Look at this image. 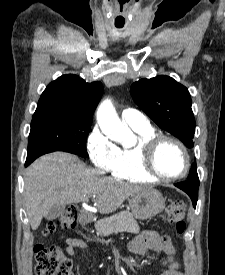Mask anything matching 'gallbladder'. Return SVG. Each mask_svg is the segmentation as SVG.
<instances>
[{
	"mask_svg": "<svg viewBox=\"0 0 225 275\" xmlns=\"http://www.w3.org/2000/svg\"><path fill=\"white\" fill-rule=\"evenodd\" d=\"M64 211V205L55 204L52 206L50 211L46 214L45 218L47 220H53L60 216Z\"/></svg>",
	"mask_w": 225,
	"mask_h": 275,
	"instance_id": "bac80fb5",
	"label": "gallbladder"
}]
</instances>
